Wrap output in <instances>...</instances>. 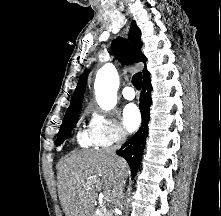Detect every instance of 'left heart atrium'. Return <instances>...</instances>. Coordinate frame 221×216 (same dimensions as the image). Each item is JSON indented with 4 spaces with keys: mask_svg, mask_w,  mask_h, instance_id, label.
Returning a JSON list of instances; mask_svg holds the SVG:
<instances>
[{
    "mask_svg": "<svg viewBox=\"0 0 221 216\" xmlns=\"http://www.w3.org/2000/svg\"><path fill=\"white\" fill-rule=\"evenodd\" d=\"M123 123L129 131H135L141 123V115L135 104H128L123 110Z\"/></svg>",
    "mask_w": 221,
    "mask_h": 216,
    "instance_id": "obj_1",
    "label": "left heart atrium"
}]
</instances>
